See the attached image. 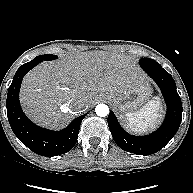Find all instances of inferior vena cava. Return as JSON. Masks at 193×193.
<instances>
[{"label":"inferior vena cava","mask_w":193,"mask_h":193,"mask_svg":"<svg viewBox=\"0 0 193 193\" xmlns=\"http://www.w3.org/2000/svg\"><path fill=\"white\" fill-rule=\"evenodd\" d=\"M69 107L70 109H83L85 103L82 100H71Z\"/></svg>","instance_id":"inferior-vena-cava-1"}]
</instances>
